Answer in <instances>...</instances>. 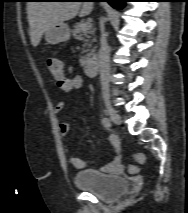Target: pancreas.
Here are the masks:
<instances>
[{
    "mask_svg": "<svg viewBox=\"0 0 188 213\" xmlns=\"http://www.w3.org/2000/svg\"><path fill=\"white\" fill-rule=\"evenodd\" d=\"M83 22H78L74 26L72 30L73 37L77 40H81L84 42L85 49L82 53H87L80 57V63L82 65H86L91 59L96 57L95 51L96 48L92 47V42H95L96 39L94 38L92 41L90 40L92 34H94L95 30L92 29V26L88 30H83Z\"/></svg>",
    "mask_w": 188,
    "mask_h": 213,
    "instance_id": "1",
    "label": "pancreas"
}]
</instances>
